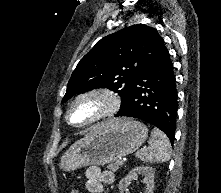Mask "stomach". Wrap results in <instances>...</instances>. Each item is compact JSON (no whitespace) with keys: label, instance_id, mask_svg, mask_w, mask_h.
<instances>
[{"label":"stomach","instance_id":"obj_1","mask_svg":"<svg viewBox=\"0 0 221 193\" xmlns=\"http://www.w3.org/2000/svg\"><path fill=\"white\" fill-rule=\"evenodd\" d=\"M147 136V127L133 119L101 122L65 152L59 166L65 171L90 165L103 166L136 151Z\"/></svg>","mask_w":221,"mask_h":193}]
</instances>
